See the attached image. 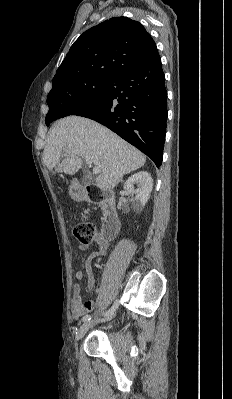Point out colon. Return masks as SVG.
Wrapping results in <instances>:
<instances>
[{
  "instance_id": "5ec220e1",
  "label": "colon",
  "mask_w": 232,
  "mask_h": 399,
  "mask_svg": "<svg viewBox=\"0 0 232 399\" xmlns=\"http://www.w3.org/2000/svg\"><path fill=\"white\" fill-rule=\"evenodd\" d=\"M68 225H73V218H68ZM93 222H74V231H70V236H75L79 244H92L93 240Z\"/></svg>"
}]
</instances>
